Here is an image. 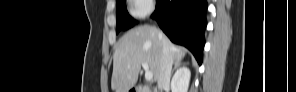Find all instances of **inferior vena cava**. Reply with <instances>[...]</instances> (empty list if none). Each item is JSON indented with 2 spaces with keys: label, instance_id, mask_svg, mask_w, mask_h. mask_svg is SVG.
Masks as SVG:
<instances>
[{
  "label": "inferior vena cava",
  "instance_id": "inferior-vena-cava-1",
  "mask_svg": "<svg viewBox=\"0 0 296 92\" xmlns=\"http://www.w3.org/2000/svg\"><path fill=\"white\" fill-rule=\"evenodd\" d=\"M173 60L169 53L166 40L163 37V52L160 60V74L157 80L158 89L162 92L164 87L168 86L171 78Z\"/></svg>",
  "mask_w": 296,
  "mask_h": 92
}]
</instances>
